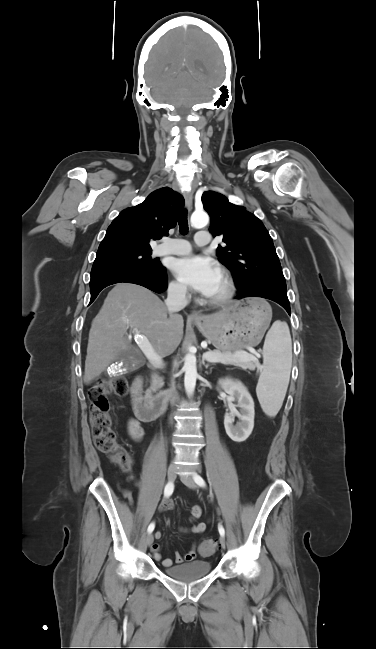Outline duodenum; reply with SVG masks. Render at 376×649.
Returning <instances> with one entry per match:
<instances>
[{
    "instance_id": "duodenum-1",
    "label": "duodenum",
    "mask_w": 376,
    "mask_h": 649,
    "mask_svg": "<svg viewBox=\"0 0 376 649\" xmlns=\"http://www.w3.org/2000/svg\"><path fill=\"white\" fill-rule=\"evenodd\" d=\"M131 404L135 416L142 421H151L158 417L171 395L161 393L151 398L143 396V378L137 376L130 387Z\"/></svg>"
}]
</instances>
